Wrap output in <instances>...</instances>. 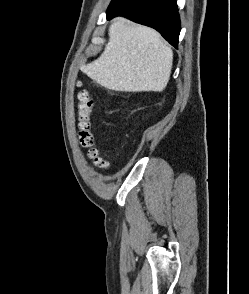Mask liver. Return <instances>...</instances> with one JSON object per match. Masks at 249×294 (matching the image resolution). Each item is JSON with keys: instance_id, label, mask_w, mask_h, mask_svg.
<instances>
[{"instance_id": "obj_1", "label": "liver", "mask_w": 249, "mask_h": 294, "mask_svg": "<svg viewBox=\"0 0 249 294\" xmlns=\"http://www.w3.org/2000/svg\"><path fill=\"white\" fill-rule=\"evenodd\" d=\"M173 51L149 27L116 18L102 55L82 67L101 86L124 92H160L169 82Z\"/></svg>"}]
</instances>
